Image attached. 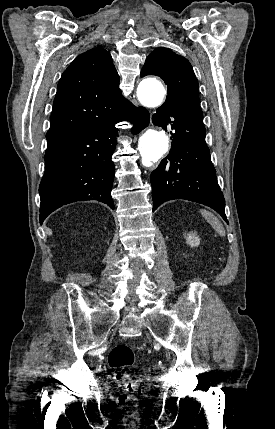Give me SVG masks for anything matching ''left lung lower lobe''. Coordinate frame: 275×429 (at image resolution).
Instances as JSON below:
<instances>
[{"instance_id":"obj_1","label":"left lung lower lobe","mask_w":275,"mask_h":429,"mask_svg":"<svg viewBox=\"0 0 275 429\" xmlns=\"http://www.w3.org/2000/svg\"><path fill=\"white\" fill-rule=\"evenodd\" d=\"M152 121L173 136L169 154L150 176L153 211L168 200L186 199L213 208L228 223L202 118L163 104L152 116Z\"/></svg>"}]
</instances>
